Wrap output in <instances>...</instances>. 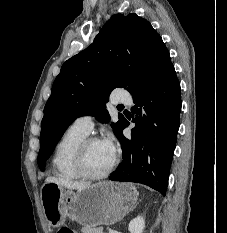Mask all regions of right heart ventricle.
Returning a JSON list of instances; mask_svg holds the SVG:
<instances>
[{"label": "right heart ventricle", "mask_w": 227, "mask_h": 233, "mask_svg": "<svg viewBox=\"0 0 227 233\" xmlns=\"http://www.w3.org/2000/svg\"><path fill=\"white\" fill-rule=\"evenodd\" d=\"M87 135L71 126L57 143L52 158V166L56 175L61 179L74 180L80 178L74 168V155L78 145Z\"/></svg>", "instance_id": "obj_1"}]
</instances>
